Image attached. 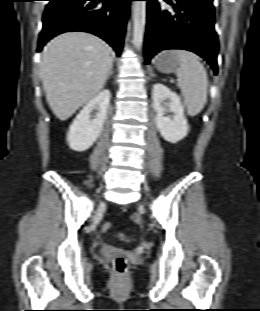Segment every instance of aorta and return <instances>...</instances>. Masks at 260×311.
Returning <instances> with one entry per match:
<instances>
[{
    "label": "aorta",
    "instance_id": "obj_1",
    "mask_svg": "<svg viewBox=\"0 0 260 311\" xmlns=\"http://www.w3.org/2000/svg\"><path fill=\"white\" fill-rule=\"evenodd\" d=\"M146 24V1H135L133 6V44L140 50Z\"/></svg>",
    "mask_w": 260,
    "mask_h": 311
}]
</instances>
